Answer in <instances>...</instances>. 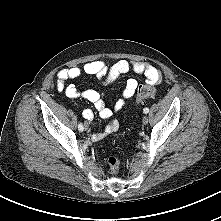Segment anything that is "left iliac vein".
<instances>
[{
	"mask_svg": "<svg viewBox=\"0 0 221 221\" xmlns=\"http://www.w3.org/2000/svg\"><path fill=\"white\" fill-rule=\"evenodd\" d=\"M148 117L147 116H144L143 118H142V122H143V124H147L148 123Z\"/></svg>",
	"mask_w": 221,
	"mask_h": 221,
	"instance_id": "4c4485c4",
	"label": "left iliac vein"
}]
</instances>
